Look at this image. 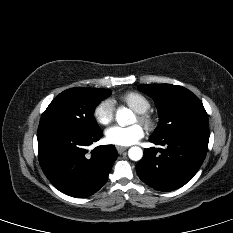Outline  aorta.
Masks as SVG:
<instances>
[{
    "label": "aorta",
    "mask_w": 233,
    "mask_h": 233,
    "mask_svg": "<svg viewBox=\"0 0 233 233\" xmlns=\"http://www.w3.org/2000/svg\"><path fill=\"white\" fill-rule=\"evenodd\" d=\"M116 121L120 126L130 125L134 122V115L130 109L121 108L116 112ZM128 156L133 161H139L143 157V151L140 147H131Z\"/></svg>",
    "instance_id": "1"
}]
</instances>
